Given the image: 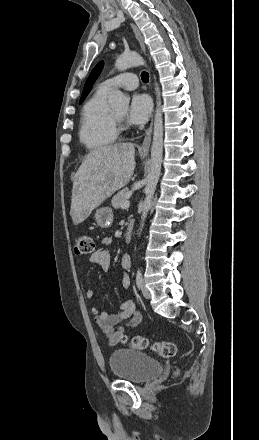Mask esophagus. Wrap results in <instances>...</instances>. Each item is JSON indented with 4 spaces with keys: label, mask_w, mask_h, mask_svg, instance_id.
Instances as JSON below:
<instances>
[{
    "label": "esophagus",
    "mask_w": 259,
    "mask_h": 440,
    "mask_svg": "<svg viewBox=\"0 0 259 440\" xmlns=\"http://www.w3.org/2000/svg\"><path fill=\"white\" fill-rule=\"evenodd\" d=\"M132 30L134 32V35L136 37V39L138 40L142 50L144 51V53L146 52V47H145V43H144V39L143 36L140 32V30L137 28L136 25L131 24ZM152 126H153V119L151 120L150 126L147 129L145 138L139 148V152L141 154H147L150 148V144H151V136H152Z\"/></svg>",
    "instance_id": "34e87169"
}]
</instances>
